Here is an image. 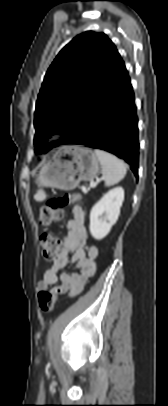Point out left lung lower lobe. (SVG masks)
I'll return each mask as SVG.
<instances>
[{"instance_id":"obj_1","label":"left lung lower lobe","mask_w":168,"mask_h":406,"mask_svg":"<svg viewBox=\"0 0 168 406\" xmlns=\"http://www.w3.org/2000/svg\"><path fill=\"white\" fill-rule=\"evenodd\" d=\"M63 144L108 151L130 164L138 177V120L134 93L123 61L95 102L81 130Z\"/></svg>"}]
</instances>
